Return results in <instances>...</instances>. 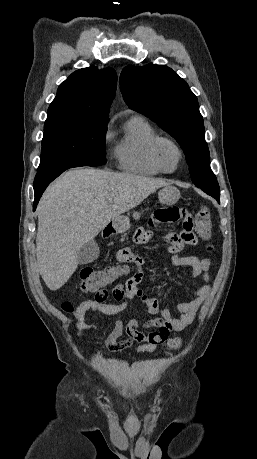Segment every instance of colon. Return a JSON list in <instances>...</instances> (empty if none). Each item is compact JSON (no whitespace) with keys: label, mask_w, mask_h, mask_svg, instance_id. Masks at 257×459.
I'll return each instance as SVG.
<instances>
[{"label":"colon","mask_w":257,"mask_h":459,"mask_svg":"<svg viewBox=\"0 0 257 459\" xmlns=\"http://www.w3.org/2000/svg\"><path fill=\"white\" fill-rule=\"evenodd\" d=\"M195 223L196 234L203 240H206L212 228V219L210 210L207 207L200 208L193 219ZM184 229V228H183ZM183 232V230H182ZM131 266L138 267V264H122L119 267H108L105 269H94L84 267L80 271L81 288L84 291L94 292L98 301H104L108 298L106 286L120 275L124 274ZM63 309L67 312L73 309L69 302L63 304ZM182 346L180 338L168 340L165 347L169 350H178Z\"/></svg>","instance_id":"1"}]
</instances>
